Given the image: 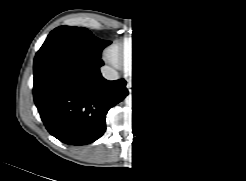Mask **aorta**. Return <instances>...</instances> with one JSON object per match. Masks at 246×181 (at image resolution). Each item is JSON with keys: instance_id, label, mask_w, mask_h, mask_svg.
Masks as SVG:
<instances>
[{"instance_id": "762f6f07", "label": "aorta", "mask_w": 246, "mask_h": 181, "mask_svg": "<svg viewBox=\"0 0 246 181\" xmlns=\"http://www.w3.org/2000/svg\"><path fill=\"white\" fill-rule=\"evenodd\" d=\"M125 102L128 107H133L134 104L136 105L137 99L133 95H129L126 97Z\"/></svg>"}]
</instances>
